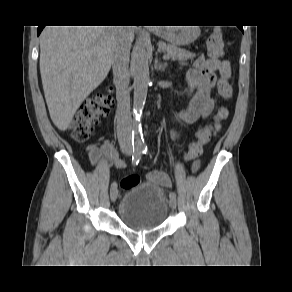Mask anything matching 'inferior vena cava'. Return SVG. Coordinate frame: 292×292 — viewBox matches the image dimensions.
<instances>
[{"instance_id":"1","label":"inferior vena cava","mask_w":292,"mask_h":292,"mask_svg":"<svg viewBox=\"0 0 292 292\" xmlns=\"http://www.w3.org/2000/svg\"><path fill=\"white\" fill-rule=\"evenodd\" d=\"M131 26H117V43L112 62L113 82L116 87L117 99V137L120 148L125 152H131V124L130 93H129V59L131 39L129 31Z\"/></svg>"}]
</instances>
